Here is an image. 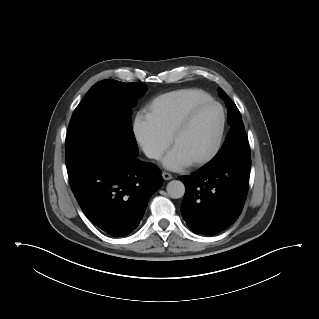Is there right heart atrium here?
<instances>
[{
	"mask_svg": "<svg viewBox=\"0 0 319 319\" xmlns=\"http://www.w3.org/2000/svg\"><path fill=\"white\" fill-rule=\"evenodd\" d=\"M133 133L145 155L151 159H160L168 147V139L142 112L134 118Z\"/></svg>",
	"mask_w": 319,
	"mask_h": 319,
	"instance_id": "d8ad5b80",
	"label": "right heart atrium"
}]
</instances>
